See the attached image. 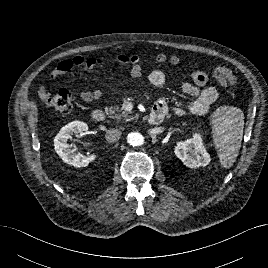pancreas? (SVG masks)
<instances>
[{"label":"pancreas","mask_w":268,"mask_h":268,"mask_svg":"<svg viewBox=\"0 0 268 268\" xmlns=\"http://www.w3.org/2000/svg\"><path fill=\"white\" fill-rule=\"evenodd\" d=\"M105 112L108 116L112 117V118H116V119H121L123 118H127L129 116L128 112L122 111L120 112V108L119 107H105Z\"/></svg>","instance_id":"obj_1"}]
</instances>
